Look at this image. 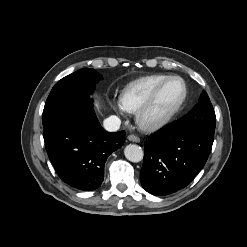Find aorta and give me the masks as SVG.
I'll return each instance as SVG.
<instances>
[{"label": "aorta", "mask_w": 247, "mask_h": 247, "mask_svg": "<svg viewBox=\"0 0 247 247\" xmlns=\"http://www.w3.org/2000/svg\"><path fill=\"white\" fill-rule=\"evenodd\" d=\"M125 157L131 162H140L143 159V150L136 144H129L124 149Z\"/></svg>", "instance_id": "aorta-1"}]
</instances>
